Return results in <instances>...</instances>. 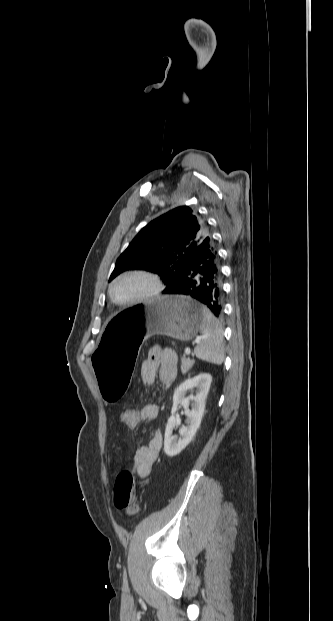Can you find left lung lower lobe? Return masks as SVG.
<instances>
[{
    "label": "left lung lower lobe",
    "mask_w": 333,
    "mask_h": 621,
    "mask_svg": "<svg viewBox=\"0 0 333 621\" xmlns=\"http://www.w3.org/2000/svg\"><path fill=\"white\" fill-rule=\"evenodd\" d=\"M222 276L218 252L206 237L186 262L181 276L163 294H182L198 300L215 316L222 314Z\"/></svg>",
    "instance_id": "1"
}]
</instances>
